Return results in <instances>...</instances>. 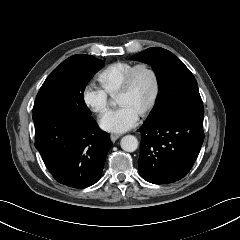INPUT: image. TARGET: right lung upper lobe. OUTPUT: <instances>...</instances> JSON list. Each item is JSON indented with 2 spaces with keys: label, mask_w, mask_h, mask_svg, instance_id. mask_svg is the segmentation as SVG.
<instances>
[{
  "label": "right lung upper lobe",
  "mask_w": 240,
  "mask_h": 240,
  "mask_svg": "<svg viewBox=\"0 0 240 240\" xmlns=\"http://www.w3.org/2000/svg\"><path fill=\"white\" fill-rule=\"evenodd\" d=\"M83 56H88V55H85V54H78V55L71 56L70 58L83 57Z\"/></svg>",
  "instance_id": "1"
}]
</instances>
